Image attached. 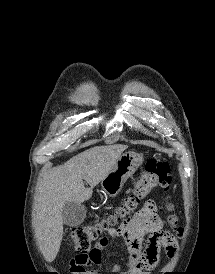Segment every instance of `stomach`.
I'll list each match as a JSON object with an SVG mask.
<instances>
[{
  "label": "stomach",
  "mask_w": 215,
  "mask_h": 274,
  "mask_svg": "<svg viewBox=\"0 0 215 274\" xmlns=\"http://www.w3.org/2000/svg\"><path fill=\"white\" fill-rule=\"evenodd\" d=\"M142 163V156L134 152L122 154L113 165L110 173L101 181L103 192L116 196L122 189L126 180L131 177Z\"/></svg>",
  "instance_id": "stomach-1"
}]
</instances>
